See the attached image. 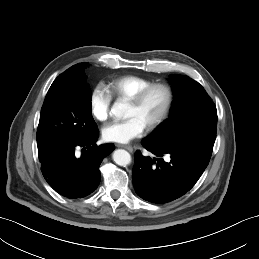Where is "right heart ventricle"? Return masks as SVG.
Here are the masks:
<instances>
[{"mask_svg":"<svg viewBox=\"0 0 259 259\" xmlns=\"http://www.w3.org/2000/svg\"><path fill=\"white\" fill-rule=\"evenodd\" d=\"M153 82L147 78L126 75L115 78L108 84V90L117 100H128Z\"/></svg>","mask_w":259,"mask_h":259,"instance_id":"right-heart-ventricle-1","label":"right heart ventricle"}]
</instances>
